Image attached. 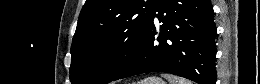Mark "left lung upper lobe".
Returning a JSON list of instances; mask_svg holds the SVG:
<instances>
[{"label":"left lung upper lobe","instance_id":"left-lung-upper-lobe-1","mask_svg":"<svg viewBox=\"0 0 260 84\" xmlns=\"http://www.w3.org/2000/svg\"><path fill=\"white\" fill-rule=\"evenodd\" d=\"M156 0H86L71 46L72 84H107L136 53Z\"/></svg>","mask_w":260,"mask_h":84}]
</instances>
